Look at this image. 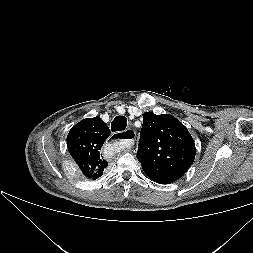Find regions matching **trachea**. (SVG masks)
Returning <instances> with one entry per match:
<instances>
[{"instance_id": "obj_1", "label": "trachea", "mask_w": 253, "mask_h": 253, "mask_svg": "<svg viewBox=\"0 0 253 253\" xmlns=\"http://www.w3.org/2000/svg\"><path fill=\"white\" fill-rule=\"evenodd\" d=\"M126 126H127L126 117L116 116L111 123V131H113V132L123 131V130H125ZM116 137L121 138L119 134Z\"/></svg>"}]
</instances>
